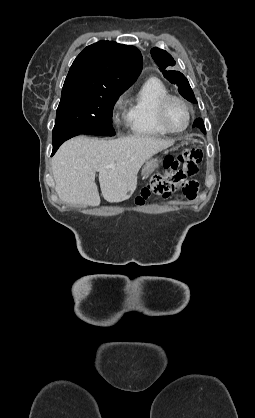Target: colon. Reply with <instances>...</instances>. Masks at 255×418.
Returning a JSON list of instances; mask_svg holds the SVG:
<instances>
[{
	"mask_svg": "<svg viewBox=\"0 0 255 418\" xmlns=\"http://www.w3.org/2000/svg\"><path fill=\"white\" fill-rule=\"evenodd\" d=\"M201 160L202 152L197 148L184 149L177 156L167 157L164 161V173L151 177L135 197L134 204L143 206L154 195L167 196L178 189L188 199H194L198 184L192 177L198 172Z\"/></svg>",
	"mask_w": 255,
	"mask_h": 418,
	"instance_id": "colon-1",
	"label": "colon"
}]
</instances>
